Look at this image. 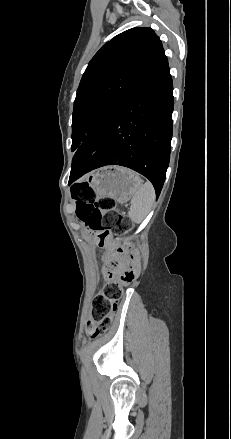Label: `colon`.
Returning <instances> with one entry per match:
<instances>
[{
	"label": "colon",
	"mask_w": 231,
	"mask_h": 439,
	"mask_svg": "<svg viewBox=\"0 0 231 439\" xmlns=\"http://www.w3.org/2000/svg\"><path fill=\"white\" fill-rule=\"evenodd\" d=\"M72 195L77 201L79 218L91 231L98 233L100 241L106 240L110 232H126L133 228L131 218L116 209L115 200L110 197L99 198L90 184L80 183L74 186ZM125 257L132 260V266L118 274V262L112 260L109 264V277L102 293L97 294L93 299L87 328L90 337H96L107 331L123 286L131 284L137 276V254L134 251L122 249L115 255L116 259Z\"/></svg>",
	"instance_id": "5ec220e1"
}]
</instances>
